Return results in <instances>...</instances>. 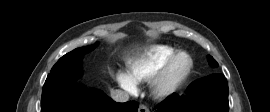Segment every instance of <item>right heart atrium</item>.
Instances as JSON below:
<instances>
[{"mask_svg":"<svg viewBox=\"0 0 270 112\" xmlns=\"http://www.w3.org/2000/svg\"><path fill=\"white\" fill-rule=\"evenodd\" d=\"M116 81L126 90L135 92L137 89L136 83L130 78L128 73L117 71L115 75Z\"/></svg>","mask_w":270,"mask_h":112,"instance_id":"1","label":"right heart atrium"}]
</instances>
